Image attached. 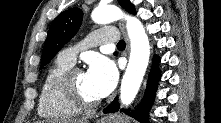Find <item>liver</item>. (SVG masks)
Masks as SVG:
<instances>
[{"label": "liver", "instance_id": "1", "mask_svg": "<svg viewBox=\"0 0 221 123\" xmlns=\"http://www.w3.org/2000/svg\"><path fill=\"white\" fill-rule=\"evenodd\" d=\"M37 123H41V122H37ZM71 123H84V121L83 120H77V119H75V120H72L71 121Z\"/></svg>", "mask_w": 221, "mask_h": 123}]
</instances>
